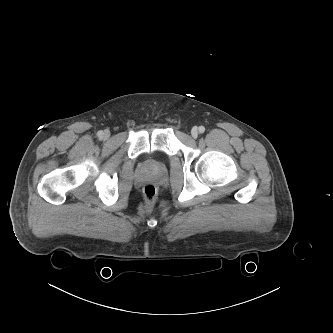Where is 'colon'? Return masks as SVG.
Wrapping results in <instances>:
<instances>
[{
  "instance_id": "colon-1",
  "label": "colon",
  "mask_w": 333,
  "mask_h": 333,
  "mask_svg": "<svg viewBox=\"0 0 333 333\" xmlns=\"http://www.w3.org/2000/svg\"><path fill=\"white\" fill-rule=\"evenodd\" d=\"M144 204L147 209H151L157 201V189L152 184H147L143 188Z\"/></svg>"
}]
</instances>
